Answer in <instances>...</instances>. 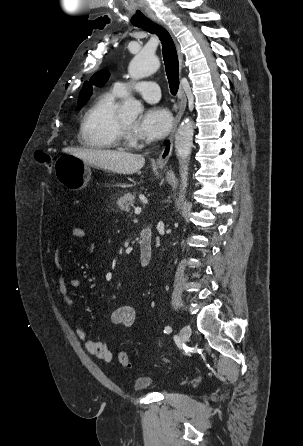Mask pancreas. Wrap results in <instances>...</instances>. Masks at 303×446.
Listing matches in <instances>:
<instances>
[{
    "label": "pancreas",
    "instance_id": "pancreas-1",
    "mask_svg": "<svg viewBox=\"0 0 303 446\" xmlns=\"http://www.w3.org/2000/svg\"><path fill=\"white\" fill-rule=\"evenodd\" d=\"M135 203V195L131 193H126L119 197L117 200V205L121 211L129 212L130 207Z\"/></svg>",
    "mask_w": 303,
    "mask_h": 446
}]
</instances>
